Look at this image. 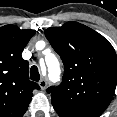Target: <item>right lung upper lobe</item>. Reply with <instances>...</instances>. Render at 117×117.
<instances>
[{"label": "right lung upper lobe", "mask_w": 117, "mask_h": 117, "mask_svg": "<svg viewBox=\"0 0 117 117\" xmlns=\"http://www.w3.org/2000/svg\"><path fill=\"white\" fill-rule=\"evenodd\" d=\"M35 34L15 25L0 27V117H22L40 86L29 80V63L21 56Z\"/></svg>", "instance_id": "right-lung-upper-lobe-1"}]
</instances>
